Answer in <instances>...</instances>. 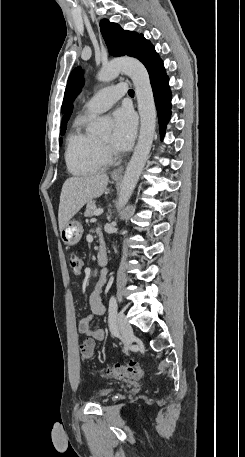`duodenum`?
I'll use <instances>...</instances> for the list:
<instances>
[{
    "mask_svg": "<svg viewBox=\"0 0 245 457\" xmlns=\"http://www.w3.org/2000/svg\"><path fill=\"white\" fill-rule=\"evenodd\" d=\"M108 256L104 247H101L97 254V263L99 266L104 267L107 264Z\"/></svg>",
    "mask_w": 245,
    "mask_h": 457,
    "instance_id": "duodenum-1",
    "label": "duodenum"
}]
</instances>
